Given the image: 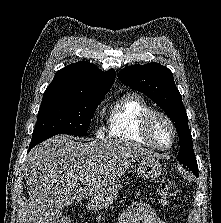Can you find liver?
Wrapping results in <instances>:
<instances>
[{
  "instance_id": "liver-1",
  "label": "liver",
  "mask_w": 221,
  "mask_h": 223,
  "mask_svg": "<svg viewBox=\"0 0 221 223\" xmlns=\"http://www.w3.org/2000/svg\"><path fill=\"white\" fill-rule=\"evenodd\" d=\"M155 154L123 140L57 135L34 147L24 170L29 206L23 223H56L63 208L114 186L131 164ZM87 181L85 187L82 182Z\"/></svg>"
}]
</instances>
